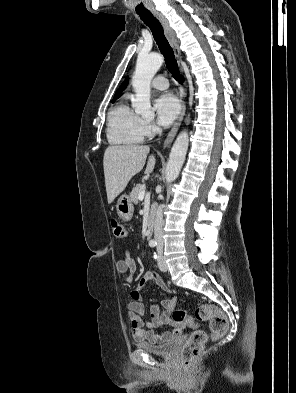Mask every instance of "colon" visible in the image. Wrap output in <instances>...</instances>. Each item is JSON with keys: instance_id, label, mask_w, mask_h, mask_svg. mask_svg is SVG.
Listing matches in <instances>:
<instances>
[{"instance_id": "1", "label": "colon", "mask_w": 296, "mask_h": 393, "mask_svg": "<svg viewBox=\"0 0 296 393\" xmlns=\"http://www.w3.org/2000/svg\"><path fill=\"white\" fill-rule=\"evenodd\" d=\"M113 233L116 238L124 239L127 231L123 225L116 220H112ZM171 320L177 324L195 327L192 317L183 309H174L170 315ZM196 317L202 321H209L211 337L219 338L228 329V320L225 314L214 304H203L196 310ZM208 335L201 330L194 331L181 349V359L184 364L191 366L193 361L201 354Z\"/></svg>"}]
</instances>
